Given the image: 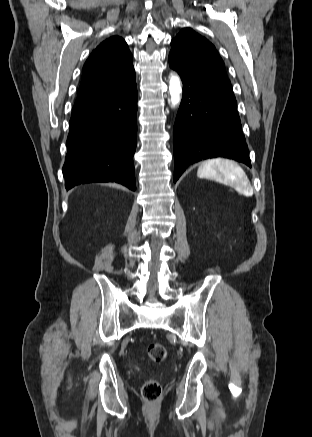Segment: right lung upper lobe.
Wrapping results in <instances>:
<instances>
[{
  "label": "right lung upper lobe",
  "instance_id": "cb5924a9",
  "mask_svg": "<svg viewBox=\"0 0 312 437\" xmlns=\"http://www.w3.org/2000/svg\"><path fill=\"white\" fill-rule=\"evenodd\" d=\"M134 74L133 57L126 42L118 36L110 37L93 50L84 64L74 107L115 91Z\"/></svg>",
  "mask_w": 312,
  "mask_h": 437
}]
</instances>
